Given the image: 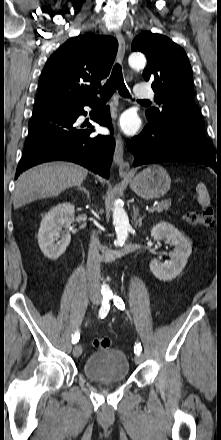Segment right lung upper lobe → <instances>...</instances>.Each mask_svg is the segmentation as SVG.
Listing matches in <instances>:
<instances>
[{"label":"right lung upper lobe","instance_id":"obj_1","mask_svg":"<svg viewBox=\"0 0 221 440\" xmlns=\"http://www.w3.org/2000/svg\"><path fill=\"white\" fill-rule=\"evenodd\" d=\"M117 48V40L110 36L79 35L67 40L42 71L33 111L96 100Z\"/></svg>","mask_w":221,"mask_h":440}]
</instances>
